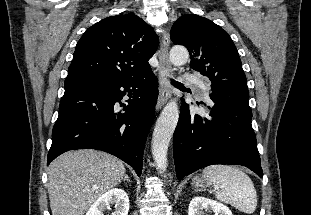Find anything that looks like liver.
I'll list each match as a JSON object with an SVG mask.
<instances>
[{
	"mask_svg": "<svg viewBox=\"0 0 311 215\" xmlns=\"http://www.w3.org/2000/svg\"><path fill=\"white\" fill-rule=\"evenodd\" d=\"M119 159L91 149L66 152L48 170L52 215H84L93 202L125 177Z\"/></svg>",
	"mask_w": 311,
	"mask_h": 215,
	"instance_id": "1",
	"label": "liver"
}]
</instances>
